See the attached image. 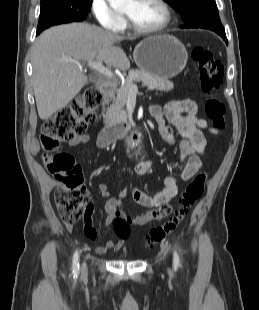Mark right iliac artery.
Wrapping results in <instances>:
<instances>
[{
	"label": "right iliac artery",
	"mask_w": 259,
	"mask_h": 310,
	"mask_svg": "<svg viewBox=\"0 0 259 310\" xmlns=\"http://www.w3.org/2000/svg\"><path fill=\"white\" fill-rule=\"evenodd\" d=\"M72 273H73V277L74 278L78 277V273H79V255H78L77 251L73 255Z\"/></svg>",
	"instance_id": "1"
}]
</instances>
